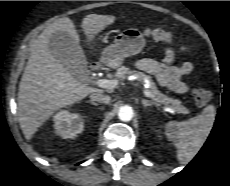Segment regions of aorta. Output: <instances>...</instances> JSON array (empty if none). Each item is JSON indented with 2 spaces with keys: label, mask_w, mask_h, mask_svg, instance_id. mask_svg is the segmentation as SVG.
<instances>
[{
  "label": "aorta",
  "mask_w": 230,
  "mask_h": 186,
  "mask_svg": "<svg viewBox=\"0 0 230 186\" xmlns=\"http://www.w3.org/2000/svg\"><path fill=\"white\" fill-rule=\"evenodd\" d=\"M118 117L122 121H130L133 117V109L130 106H122L119 109Z\"/></svg>",
  "instance_id": "obj_1"
}]
</instances>
